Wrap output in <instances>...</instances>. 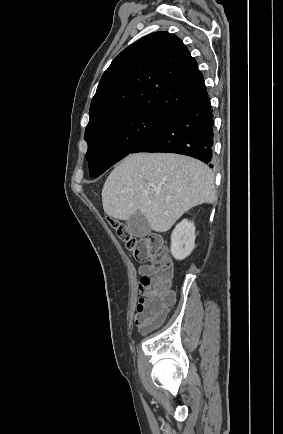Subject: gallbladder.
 <instances>
[{
    "label": "gallbladder",
    "mask_w": 283,
    "mask_h": 434,
    "mask_svg": "<svg viewBox=\"0 0 283 434\" xmlns=\"http://www.w3.org/2000/svg\"><path fill=\"white\" fill-rule=\"evenodd\" d=\"M127 230L135 237H145L151 232V227L146 217L140 212L133 214L126 222Z\"/></svg>",
    "instance_id": "bac80fb5"
}]
</instances>
